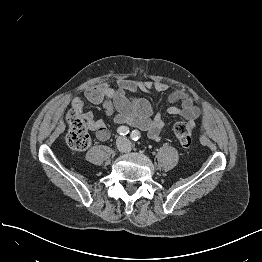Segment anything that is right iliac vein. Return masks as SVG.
<instances>
[{
	"label": "right iliac vein",
	"mask_w": 262,
	"mask_h": 262,
	"mask_svg": "<svg viewBox=\"0 0 262 262\" xmlns=\"http://www.w3.org/2000/svg\"><path fill=\"white\" fill-rule=\"evenodd\" d=\"M121 142H124V140H122ZM119 148V150L121 151V148L120 147H118Z\"/></svg>",
	"instance_id": "obj_1"
}]
</instances>
